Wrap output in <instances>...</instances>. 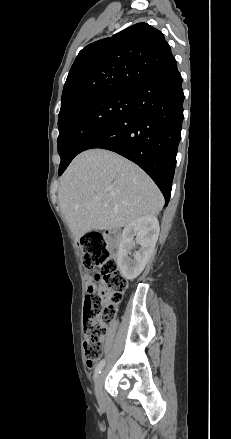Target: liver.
<instances>
[{
    "label": "liver",
    "mask_w": 231,
    "mask_h": 439,
    "mask_svg": "<svg viewBox=\"0 0 231 439\" xmlns=\"http://www.w3.org/2000/svg\"><path fill=\"white\" fill-rule=\"evenodd\" d=\"M58 197L75 239L156 216L164 205L162 193L141 168L105 149L74 158L61 178Z\"/></svg>",
    "instance_id": "1"
}]
</instances>
